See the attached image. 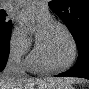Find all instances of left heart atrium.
Here are the masks:
<instances>
[{"mask_svg":"<svg viewBox=\"0 0 89 89\" xmlns=\"http://www.w3.org/2000/svg\"><path fill=\"white\" fill-rule=\"evenodd\" d=\"M18 19L26 30L32 31L36 35L38 40L46 34L53 24L50 16L46 12L36 8H26L22 10L18 15ZM34 19H38L36 26L32 25Z\"/></svg>","mask_w":89,"mask_h":89,"instance_id":"39dd6f15","label":"left heart atrium"}]
</instances>
